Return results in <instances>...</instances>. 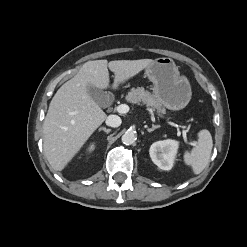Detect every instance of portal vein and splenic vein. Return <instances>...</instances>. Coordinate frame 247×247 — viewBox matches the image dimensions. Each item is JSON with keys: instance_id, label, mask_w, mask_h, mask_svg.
I'll list each match as a JSON object with an SVG mask.
<instances>
[{"instance_id": "obj_1", "label": "portal vein and splenic vein", "mask_w": 247, "mask_h": 247, "mask_svg": "<svg viewBox=\"0 0 247 247\" xmlns=\"http://www.w3.org/2000/svg\"><path fill=\"white\" fill-rule=\"evenodd\" d=\"M116 109H117L118 113H120V114H125V113L129 112V110H130L129 106L126 104H121V105L117 106ZM186 132L187 131L183 129L182 133H183V138L185 141H187Z\"/></svg>"}]
</instances>
